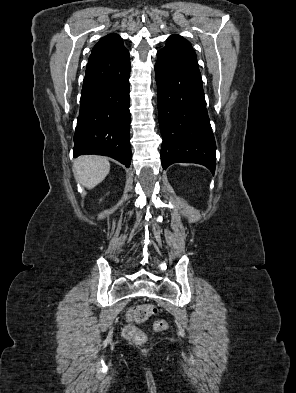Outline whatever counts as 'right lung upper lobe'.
Instances as JSON below:
<instances>
[{
	"label": "right lung upper lobe",
	"mask_w": 296,
	"mask_h": 393,
	"mask_svg": "<svg viewBox=\"0 0 296 393\" xmlns=\"http://www.w3.org/2000/svg\"><path fill=\"white\" fill-rule=\"evenodd\" d=\"M123 48L125 47L120 36L115 33H111L100 39V41L92 49L91 54Z\"/></svg>",
	"instance_id": "cb5924a9"
}]
</instances>
